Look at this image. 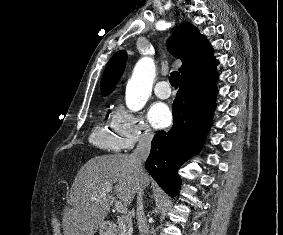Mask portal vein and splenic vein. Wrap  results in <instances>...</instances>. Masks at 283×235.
Instances as JSON below:
<instances>
[{"mask_svg":"<svg viewBox=\"0 0 283 235\" xmlns=\"http://www.w3.org/2000/svg\"><path fill=\"white\" fill-rule=\"evenodd\" d=\"M106 190L108 192H110V191H112V187L109 186V187L106 188ZM115 208L119 213L124 214V215L127 214V212H128V209L126 208V206L123 205V203L118 201V200L115 201Z\"/></svg>","mask_w":283,"mask_h":235,"instance_id":"18ae733b","label":"portal vein and splenic vein"}]
</instances>
